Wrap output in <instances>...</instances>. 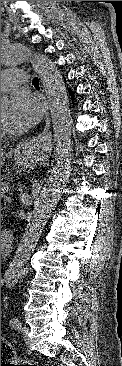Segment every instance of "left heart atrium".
I'll return each instance as SVG.
<instances>
[{
  "label": "left heart atrium",
  "instance_id": "left-heart-atrium-1",
  "mask_svg": "<svg viewBox=\"0 0 122 366\" xmlns=\"http://www.w3.org/2000/svg\"><path fill=\"white\" fill-rule=\"evenodd\" d=\"M43 114V104L38 97L27 91H19L11 97L5 114L9 131L22 132L34 127Z\"/></svg>",
  "mask_w": 122,
  "mask_h": 366
}]
</instances>
